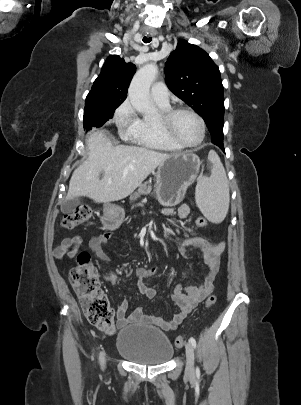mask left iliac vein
Here are the masks:
<instances>
[{"label": "left iliac vein", "mask_w": 301, "mask_h": 405, "mask_svg": "<svg viewBox=\"0 0 301 405\" xmlns=\"http://www.w3.org/2000/svg\"><path fill=\"white\" fill-rule=\"evenodd\" d=\"M185 350H186V369L185 373L187 376H193L194 375V349L193 345L190 342H187L185 344Z\"/></svg>", "instance_id": "1"}]
</instances>
